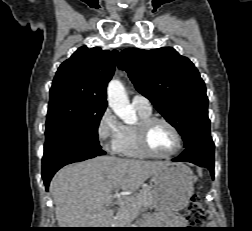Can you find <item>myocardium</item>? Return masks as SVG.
Listing matches in <instances>:
<instances>
[{"mask_svg": "<svg viewBox=\"0 0 252 231\" xmlns=\"http://www.w3.org/2000/svg\"><path fill=\"white\" fill-rule=\"evenodd\" d=\"M156 123H163L167 125L171 129V131L173 132L176 138L175 148L166 155H162V154H158L154 152L149 145V141H148L149 131L152 128V126ZM136 132H137L138 144L141 150L145 154L151 157L160 158V159L171 158L180 151L183 145V139L177 127L172 122L162 117L151 116L149 118L140 120V122L136 125Z\"/></svg>", "mask_w": 252, "mask_h": 231, "instance_id": "myocardium-1", "label": "myocardium"}]
</instances>
